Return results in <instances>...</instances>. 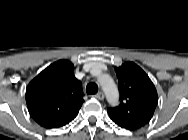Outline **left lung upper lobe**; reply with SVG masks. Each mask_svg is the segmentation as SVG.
<instances>
[{
    "label": "left lung upper lobe",
    "mask_w": 188,
    "mask_h": 140,
    "mask_svg": "<svg viewBox=\"0 0 188 140\" xmlns=\"http://www.w3.org/2000/svg\"><path fill=\"white\" fill-rule=\"evenodd\" d=\"M119 80L120 104L109 108L110 118L120 127L136 130L152 118L158 103L156 89L147 74L135 63L115 67Z\"/></svg>",
    "instance_id": "1"
}]
</instances>
